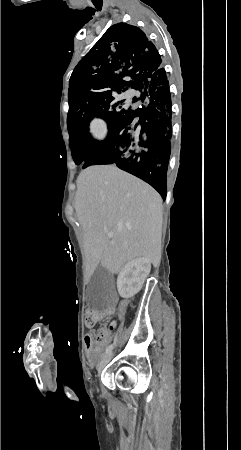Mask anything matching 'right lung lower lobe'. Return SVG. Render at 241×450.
Returning <instances> with one entry per match:
<instances>
[{
  "label": "right lung lower lobe",
  "mask_w": 241,
  "mask_h": 450,
  "mask_svg": "<svg viewBox=\"0 0 241 450\" xmlns=\"http://www.w3.org/2000/svg\"><path fill=\"white\" fill-rule=\"evenodd\" d=\"M141 98L145 105L137 119L127 121L101 143L90 140L86 120L76 122L69 132L72 153L88 157L83 168L98 164H116L150 184L163 199L166 197V176L171 152V94L164 68L142 78ZM136 137L141 140L123 153Z\"/></svg>",
  "instance_id": "right-lung-lower-lobe-1"
}]
</instances>
